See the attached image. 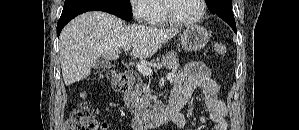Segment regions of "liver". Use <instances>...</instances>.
Masks as SVG:
<instances>
[{"label": "liver", "instance_id": "6515ba94", "mask_svg": "<svg viewBox=\"0 0 299 130\" xmlns=\"http://www.w3.org/2000/svg\"><path fill=\"white\" fill-rule=\"evenodd\" d=\"M180 28L126 25L101 11L83 13L70 21L60 35L59 59L65 85L87 78L97 58L115 60L120 50L133 45L131 56L146 59L171 40Z\"/></svg>", "mask_w": 299, "mask_h": 130}]
</instances>
